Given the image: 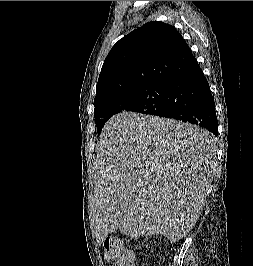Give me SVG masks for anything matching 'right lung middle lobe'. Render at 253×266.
I'll return each mask as SVG.
<instances>
[{"label":"right lung middle lobe","instance_id":"1","mask_svg":"<svg viewBox=\"0 0 253 266\" xmlns=\"http://www.w3.org/2000/svg\"><path fill=\"white\" fill-rule=\"evenodd\" d=\"M168 82H153L123 93L106 102L95 105L94 117L97 131L101 132L107 120L114 114L134 111L158 115L164 108Z\"/></svg>","mask_w":253,"mask_h":266}]
</instances>
